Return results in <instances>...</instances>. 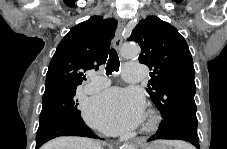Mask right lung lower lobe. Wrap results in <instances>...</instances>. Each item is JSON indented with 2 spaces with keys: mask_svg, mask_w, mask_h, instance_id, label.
Segmentation results:
<instances>
[{
  "mask_svg": "<svg viewBox=\"0 0 227 149\" xmlns=\"http://www.w3.org/2000/svg\"><path fill=\"white\" fill-rule=\"evenodd\" d=\"M58 136H83L98 138L84 121H65L40 125L36 135V149Z\"/></svg>",
  "mask_w": 227,
  "mask_h": 149,
  "instance_id": "1",
  "label": "right lung lower lobe"
}]
</instances>
